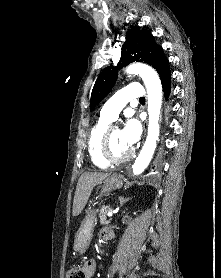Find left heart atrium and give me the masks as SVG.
<instances>
[{"mask_svg": "<svg viewBox=\"0 0 221 278\" xmlns=\"http://www.w3.org/2000/svg\"><path fill=\"white\" fill-rule=\"evenodd\" d=\"M121 134L124 143L130 148L133 147L140 136V126L138 122L134 119L128 120Z\"/></svg>", "mask_w": 221, "mask_h": 278, "instance_id": "left-heart-atrium-1", "label": "left heart atrium"}]
</instances>
